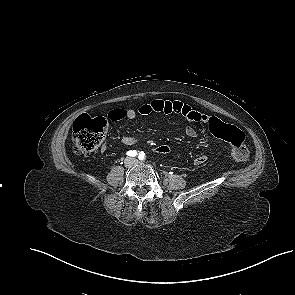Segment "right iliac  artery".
<instances>
[{
    "label": "right iliac artery",
    "instance_id": "right-iliac-artery-1",
    "mask_svg": "<svg viewBox=\"0 0 295 295\" xmlns=\"http://www.w3.org/2000/svg\"><path fill=\"white\" fill-rule=\"evenodd\" d=\"M127 155H128V156H131V157H135V156H137V151H135V150H130V151L127 152Z\"/></svg>",
    "mask_w": 295,
    "mask_h": 295
}]
</instances>
